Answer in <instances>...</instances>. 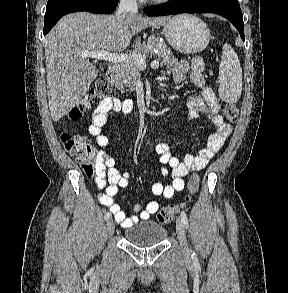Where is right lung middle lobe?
<instances>
[{"instance_id":"right-lung-middle-lobe-1","label":"right lung middle lobe","mask_w":288,"mask_h":293,"mask_svg":"<svg viewBox=\"0 0 288 293\" xmlns=\"http://www.w3.org/2000/svg\"><path fill=\"white\" fill-rule=\"evenodd\" d=\"M62 1H65V0H48L47 7H50L52 5H55V4L60 3Z\"/></svg>"}]
</instances>
